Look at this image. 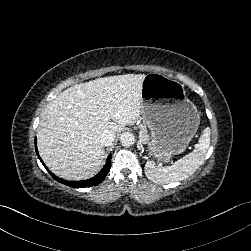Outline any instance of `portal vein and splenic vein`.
Masks as SVG:
<instances>
[{"instance_id": "portal-vein-and-splenic-vein-1", "label": "portal vein and splenic vein", "mask_w": 251, "mask_h": 251, "mask_svg": "<svg viewBox=\"0 0 251 251\" xmlns=\"http://www.w3.org/2000/svg\"><path fill=\"white\" fill-rule=\"evenodd\" d=\"M142 139L140 138V141H141ZM169 158L167 159V162L168 163H171V162H173L174 161V159H175V153L174 152H170L169 153Z\"/></svg>"}]
</instances>
